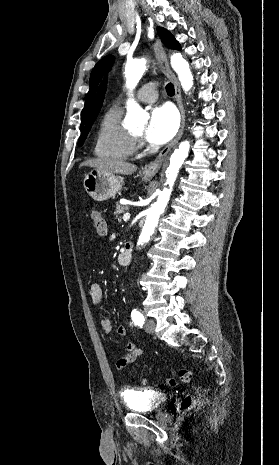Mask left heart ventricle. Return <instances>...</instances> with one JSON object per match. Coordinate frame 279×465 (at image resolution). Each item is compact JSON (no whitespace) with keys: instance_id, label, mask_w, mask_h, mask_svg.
I'll list each match as a JSON object with an SVG mask.
<instances>
[{"instance_id":"1","label":"left heart ventricle","mask_w":279,"mask_h":465,"mask_svg":"<svg viewBox=\"0 0 279 465\" xmlns=\"http://www.w3.org/2000/svg\"><path fill=\"white\" fill-rule=\"evenodd\" d=\"M143 132H144V128H140V129H137V130L134 131V133L136 135H139V136H141L143 134Z\"/></svg>"}]
</instances>
